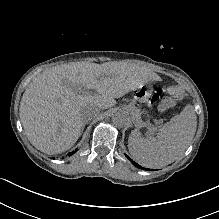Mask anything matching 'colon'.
<instances>
[{"mask_svg": "<svg viewBox=\"0 0 219 219\" xmlns=\"http://www.w3.org/2000/svg\"><path fill=\"white\" fill-rule=\"evenodd\" d=\"M186 93L180 85L170 86L161 97L159 108L161 111H166L174 107L176 101L184 99Z\"/></svg>", "mask_w": 219, "mask_h": 219, "instance_id": "1", "label": "colon"}]
</instances>
